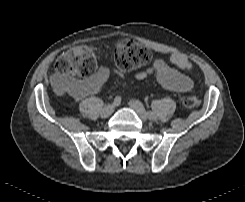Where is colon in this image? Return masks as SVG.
<instances>
[{
  "instance_id": "1",
  "label": "colon",
  "mask_w": 245,
  "mask_h": 202,
  "mask_svg": "<svg viewBox=\"0 0 245 202\" xmlns=\"http://www.w3.org/2000/svg\"><path fill=\"white\" fill-rule=\"evenodd\" d=\"M151 58L148 48L136 40L123 37L117 40L114 46V59L122 71L131 70L146 66ZM97 60L91 48L79 44L73 46L55 62L56 83L63 92H71L76 89V79L92 75L96 69ZM197 96L184 98L183 104L186 108L193 109L199 105Z\"/></svg>"
}]
</instances>
